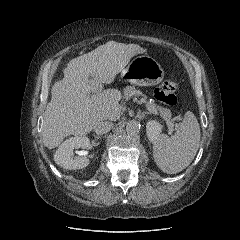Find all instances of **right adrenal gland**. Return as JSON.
Segmentation results:
<instances>
[{
	"mask_svg": "<svg viewBox=\"0 0 240 240\" xmlns=\"http://www.w3.org/2000/svg\"><path fill=\"white\" fill-rule=\"evenodd\" d=\"M95 138H96V139H100L101 137H99V136H95Z\"/></svg>",
	"mask_w": 240,
	"mask_h": 240,
	"instance_id": "2a0ac1e0",
	"label": "right adrenal gland"
}]
</instances>
